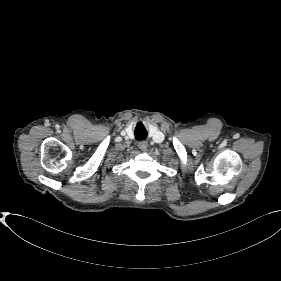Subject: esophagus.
Listing matches in <instances>:
<instances>
[{
  "mask_svg": "<svg viewBox=\"0 0 281 281\" xmlns=\"http://www.w3.org/2000/svg\"><path fill=\"white\" fill-rule=\"evenodd\" d=\"M138 146L142 151H145L148 147V142L147 141H141V142H139Z\"/></svg>",
  "mask_w": 281,
  "mask_h": 281,
  "instance_id": "esophagus-1",
  "label": "esophagus"
}]
</instances>
